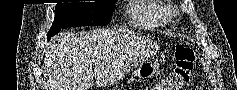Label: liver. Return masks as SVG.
Listing matches in <instances>:
<instances>
[{
	"instance_id": "obj_1",
	"label": "liver",
	"mask_w": 237,
	"mask_h": 90,
	"mask_svg": "<svg viewBox=\"0 0 237 90\" xmlns=\"http://www.w3.org/2000/svg\"><path fill=\"white\" fill-rule=\"evenodd\" d=\"M117 56V40L110 30H90L80 34H57L49 42L45 68L49 72L47 90H89L96 72L109 62L113 70Z\"/></svg>"
}]
</instances>
